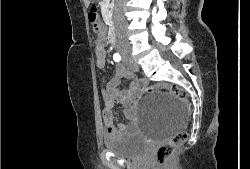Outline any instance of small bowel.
<instances>
[{
	"instance_id": "small-bowel-1",
	"label": "small bowel",
	"mask_w": 250,
	"mask_h": 169,
	"mask_svg": "<svg viewBox=\"0 0 250 169\" xmlns=\"http://www.w3.org/2000/svg\"><path fill=\"white\" fill-rule=\"evenodd\" d=\"M97 33L95 41V55L97 67L103 68L106 65V51L104 45L106 42L105 30L102 27ZM131 73L123 66H117L115 75L110 79L107 87L103 90L105 100V108L103 111V119L105 123L107 135L119 133H135L137 131V115L139 111V102L143 96V88L149 84L145 78H135L123 89L118 85L126 78H130ZM124 107V115L127 123L114 125L113 109L115 106Z\"/></svg>"
}]
</instances>
